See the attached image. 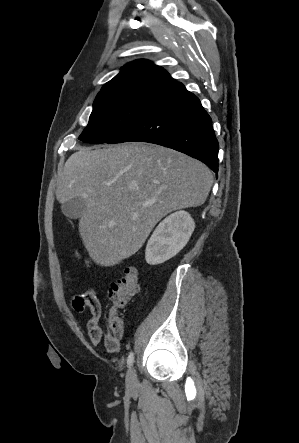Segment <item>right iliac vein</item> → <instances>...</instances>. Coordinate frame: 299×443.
<instances>
[{
    "label": "right iliac vein",
    "instance_id": "1",
    "mask_svg": "<svg viewBox=\"0 0 299 443\" xmlns=\"http://www.w3.org/2000/svg\"><path fill=\"white\" fill-rule=\"evenodd\" d=\"M126 385L129 390H134L137 386V375L134 367H131L127 372Z\"/></svg>",
    "mask_w": 299,
    "mask_h": 443
}]
</instances>
